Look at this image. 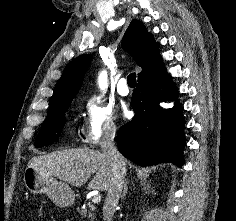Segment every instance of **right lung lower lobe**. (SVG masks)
<instances>
[{
  "mask_svg": "<svg viewBox=\"0 0 236 221\" xmlns=\"http://www.w3.org/2000/svg\"><path fill=\"white\" fill-rule=\"evenodd\" d=\"M177 90L161 63L155 71L138 79L131 99L135 116L117 135L120 152L141 166L172 162L183 164L181 107L164 110L159 103L176 100Z\"/></svg>",
  "mask_w": 236,
  "mask_h": 221,
  "instance_id": "1",
  "label": "right lung lower lobe"
}]
</instances>
